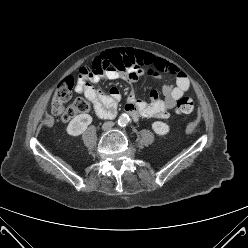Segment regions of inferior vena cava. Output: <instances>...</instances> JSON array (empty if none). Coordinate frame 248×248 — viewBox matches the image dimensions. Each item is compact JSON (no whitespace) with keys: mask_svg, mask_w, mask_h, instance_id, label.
I'll use <instances>...</instances> for the list:
<instances>
[{"mask_svg":"<svg viewBox=\"0 0 248 248\" xmlns=\"http://www.w3.org/2000/svg\"><path fill=\"white\" fill-rule=\"evenodd\" d=\"M113 126H114V122H112V121H107V122H105V123L102 125V129H103L104 131H108V130H110Z\"/></svg>","mask_w":248,"mask_h":248,"instance_id":"inferior-vena-cava-1","label":"inferior vena cava"}]
</instances>
